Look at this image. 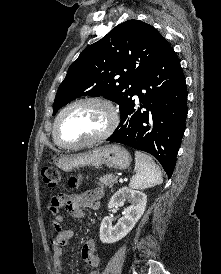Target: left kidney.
<instances>
[{"instance_id": "obj_1", "label": "left kidney", "mask_w": 221, "mask_h": 274, "mask_svg": "<svg viewBox=\"0 0 221 274\" xmlns=\"http://www.w3.org/2000/svg\"><path fill=\"white\" fill-rule=\"evenodd\" d=\"M131 205L123 212V217L112 226V218L106 216L100 225V240L102 243H115L124 238L136 225L145 211L147 196L141 191L128 187L119 189L108 203L109 209L124 205L125 201Z\"/></svg>"}]
</instances>
